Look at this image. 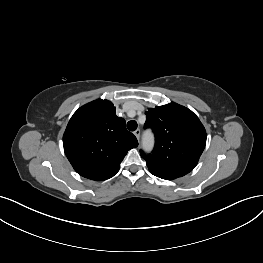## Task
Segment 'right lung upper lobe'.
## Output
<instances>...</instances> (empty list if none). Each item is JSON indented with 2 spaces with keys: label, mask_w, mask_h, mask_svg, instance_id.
<instances>
[{
  "label": "right lung upper lobe",
  "mask_w": 263,
  "mask_h": 263,
  "mask_svg": "<svg viewBox=\"0 0 263 263\" xmlns=\"http://www.w3.org/2000/svg\"><path fill=\"white\" fill-rule=\"evenodd\" d=\"M65 154L81 176L103 181L114 176L127 152L138 146L136 137L117 117L108 100H95L80 107L63 135Z\"/></svg>",
  "instance_id": "right-lung-upper-lobe-1"
}]
</instances>
